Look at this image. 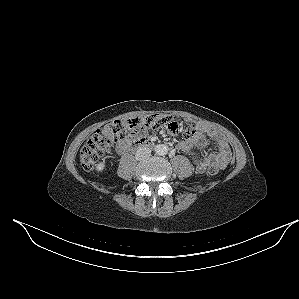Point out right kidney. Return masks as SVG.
I'll return each mask as SVG.
<instances>
[{
	"label": "right kidney",
	"mask_w": 299,
	"mask_h": 299,
	"mask_svg": "<svg viewBox=\"0 0 299 299\" xmlns=\"http://www.w3.org/2000/svg\"><path fill=\"white\" fill-rule=\"evenodd\" d=\"M105 169V164L103 162L96 165V170L102 172Z\"/></svg>",
	"instance_id": "ca27d5eb"
}]
</instances>
